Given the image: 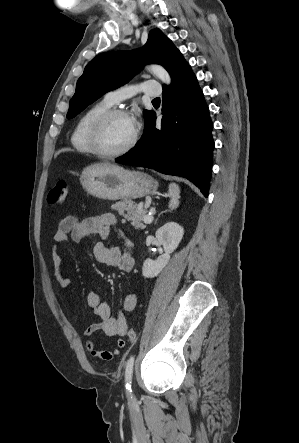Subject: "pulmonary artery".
Instances as JSON below:
<instances>
[{
	"label": "pulmonary artery",
	"instance_id": "pulmonary-artery-1",
	"mask_svg": "<svg viewBox=\"0 0 299 443\" xmlns=\"http://www.w3.org/2000/svg\"><path fill=\"white\" fill-rule=\"evenodd\" d=\"M138 92H143L145 95L157 97L161 94L160 85L152 80L145 81L139 86L124 85L115 90L109 91L105 94L104 99L111 105L118 104L124 99L134 96Z\"/></svg>",
	"mask_w": 299,
	"mask_h": 443
}]
</instances>
